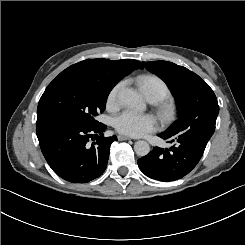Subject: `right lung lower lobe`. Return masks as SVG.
<instances>
[{"mask_svg": "<svg viewBox=\"0 0 245 245\" xmlns=\"http://www.w3.org/2000/svg\"><path fill=\"white\" fill-rule=\"evenodd\" d=\"M106 128L99 122L52 123L37 126L36 133L47 163L59 177L71 183H87L103 174L110 146L117 141L115 135L104 137Z\"/></svg>", "mask_w": 245, "mask_h": 245, "instance_id": "right-lung-lower-lobe-1", "label": "right lung lower lobe"}]
</instances>
